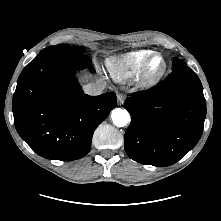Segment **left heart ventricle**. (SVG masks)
Segmentation results:
<instances>
[{
  "label": "left heart ventricle",
  "mask_w": 221,
  "mask_h": 221,
  "mask_svg": "<svg viewBox=\"0 0 221 221\" xmlns=\"http://www.w3.org/2000/svg\"><path fill=\"white\" fill-rule=\"evenodd\" d=\"M161 65V60L159 58H155L153 61V67L154 68H159Z\"/></svg>",
  "instance_id": "left-heart-ventricle-1"
}]
</instances>
